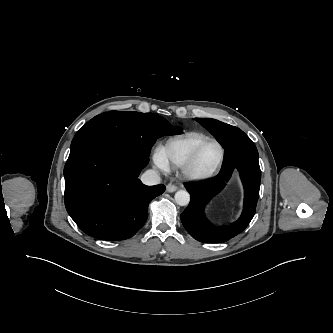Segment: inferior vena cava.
I'll use <instances>...</instances> for the list:
<instances>
[{
    "label": "inferior vena cava",
    "mask_w": 333,
    "mask_h": 333,
    "mask_svg": "<svg viewBox=\"0 0 333 333\" xmlns=\"http://www.w3.org/2000/svg\"><path fill=\"white\" fill-rule=\"evenodd\" d=\"M141 181L145 185H157L161 182V178L155 170L149 169L141 175Z\"/></svg>",
    "instance_id": "obj_1"
}]
</instances>
